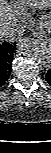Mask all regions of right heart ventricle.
<instances>
[{"instance_id":"obj_1","label":"right heart ventricle","mask_w":51,"mask_h":153,"mask_svg":"<svg viewBox=\"0 0 51 153\" xmlns=\"http://www.w3.org/2000/svg\"><path fill=\"white\" fill-rule=\"evenodd\" d=\"M50 0H26L27 5L34 10H43L49 5Z\"/></svg>"}]
</instances>
